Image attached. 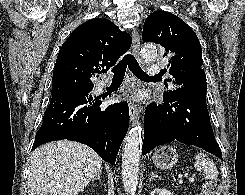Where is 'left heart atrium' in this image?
Masks as SVG:
<instances>
[{"label": "left heart atrium", "instance_id": "39dd6f15", "mask_svg": "<svg viewBox=\"0 0 245 195\" xmlns=\"http://www.w3.org/2000/svg\"><path fill=\"white\" fill-rule=\"evenodd\" d=\"M134 98L138 99V98H140V96L136 94V95H134Z\"/></svg>", "mask_w": 245, "mask_h": 195}]
</instances>
